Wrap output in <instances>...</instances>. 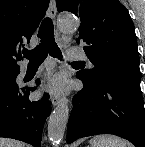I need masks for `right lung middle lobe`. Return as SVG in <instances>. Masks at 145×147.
Here are the masks:
<instances>
[{
	"label": "right lung middle lobe",
	"mask_w": 145,
	"mask_h": 147,
	"mask_svg": "<svg viewBox=\"0 0 145 147\" xmlns=\"http://www.w3.org/2000/svg\"><path fill=\"white\" fill-rule=\"evenodd\" d=\"M15 77V73L0 74V83H7L9 85H12L16 81Z\"/></svg>",
	"instance_id": "1"
}]
</instances>
